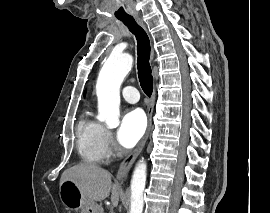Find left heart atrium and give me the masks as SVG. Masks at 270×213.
I'll list each match as a JSON object with an SVG mask.
<instances>
[{
	"label": "left heart atrium",
	"instance_id": "39dd6f15",
	"mask_svg": "<svg viewBox=\"0 0 270 213\" xmlns=\"http://www.w3.org/2000/svg\"><path fill=\"white\" fill-rule=\"evenodd\" d=\"M146 117L139 109L128 111L122 118L117 131V140L124 148L135 146L145 133Z\"/></svg>",
	"mask_w": 270,
	"mask_h": 213
}]
</instances>
